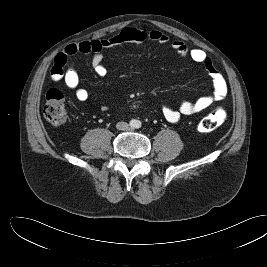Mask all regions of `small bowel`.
Wrapping results in <instances>:
<instances>
[{"label":"small bowel","instance_id":"small-bowel-1","mask_svg":"<svg viewBox=\"0 0 267 267\" xmlns=\"http://www.w3.org/2000/svg\"><path fill=\"white\" fill-rule=\"evenodd\" d=\"M146 40L160 44L170 42L169 36L158 30L127 27L110 37L71 44L56 56L51 69V78L53 81L63 82L66 87L73 89L76 99L85 102L88 100L89 94L86 89L80 86V77L74 66L69 63L70 58L77 54H92L93 70L99 77H103L107 72L103 64V51L105 49L124 42L139 43ZM171 47L179 56L190 58L194 62L202 64L207 69L213 85V92L209 95L199 97L194 101L182 100L177 107L168 105L163 107V115L166 120L177 124L182 116L201 113L214 102L224 99L227 95V84L222 74L213 65L211 58L202 49L189 48L180 40L172 41Z\"/></svg>","mask_w":267,"mask_h":267}]
</instances>
